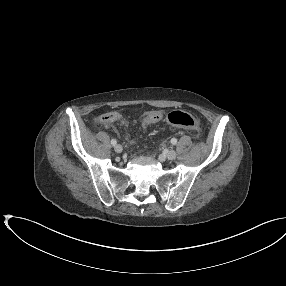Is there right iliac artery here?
I'll list each match as a JSON object with an SVG mask.
<instances>
[{"label":"right iliac artery","mask_w":286,"mask_h":286,"mask_svg":"<svg viewBox=\"0 0 286 286\" xmlns=\"http://www.w3.org/2000/svg\"><path fill=\"white\" fill-rule=\"evenodd\" d=\"M111 144H112L113 146H115V145L117 144V141H116L115 139H112V140H111Z\"/></svg>","instance_id":"right-iliac-artery-1"}]
</instances>
